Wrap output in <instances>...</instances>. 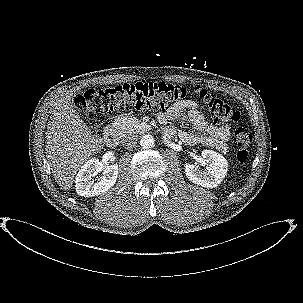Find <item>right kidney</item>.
<instances>
[{"label": "right kidney", "mask_w": 303, "mask_h": 303, "mask_svg": "<svg viewBox=\"0 0 303 303\" xmlns=\"http://www.w3.org/2000/svg\"><path fill=\"white\" fill-rule=\"evenodd\" d=\"M103 171L102 176L94 182L95 175ZM118 177V166L112 164L105 169L97 158L88 160L76 175L75 189L78 195L84 197L97 196L105 193L115 185Z\"/></svg>", "instance_id": "right-kidney-1"}]
</instances>
